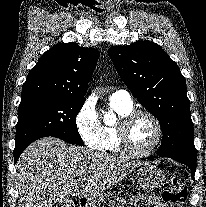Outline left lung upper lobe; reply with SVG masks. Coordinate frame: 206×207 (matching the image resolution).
I'll return each instance as SVG.
<instances>
[{
  "instance_id": "5c2ea615",
  "label": "left lung upper lobe",
  "mask_w": 206,
  "mask_h": 207,
  "mask_svg": "<svg viewBox=\"0 0 206 207\" xmlns=\"http://www.w3.org/2000/svg\"><path fill=\"white\" fill-rule=\"evenodd\" d=\"M108 54L132 94L160 122L158 155L196 160L186 80L177 64L150 41L114 46Z\"/></svg>"
}]
</instances>
